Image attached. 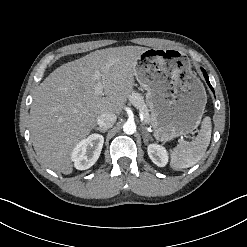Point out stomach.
<instances>
[{
    "mask_svg": "<svg viewBox=\"0 0 247 247\" xmlns=\"http://www.w3.org/2000/svg\"><path fill=\"white\" fill-rule=\"evenodd\" d=\"M134 76L146 90L154 136L170 141L193 132L207 103L206 91L179 50L147 49L136 61Z\"/></svg>",
    "mask_w": 247,
    "mask_h": 247,
    "instance_id": "0dacf381",
    "label": "stomach"
}]
</instances>
